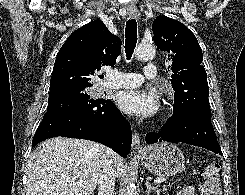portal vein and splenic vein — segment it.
<instances>
[{
  "label": "portal vein and splenic vein",
  "instance_id": "obj_1",
  "mask_svg": "<svg viewBox=\"0 0 245 195\" xmlns=\"http://www.w3.org/2000/svg\"><path fill=\"white\" fill-rule=\"evenodd\" d=\"M164 181H166L165 179H156V180H154L153 182L155 183V184H160V183H162V182H164Z\"/></svg>",
  "mask_w": 245,
  "mask_h": 195
}]
</instances>
